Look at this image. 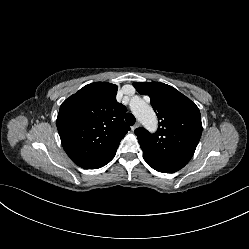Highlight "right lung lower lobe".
Segmentation results:
<instances>
[{
    "mask_svg": "<svg viewBox=\"0 0 249 249\" xmlns=\"http://www.w3.org/2000/svg\"><path fill=\"white\" fill-rule=\"evenodd\" d=\"M116 150H113L99 157L78 160L75 161V163L84 169H97L109 163L114 158Z\"/></svg>",
    "mask_w": 249,
    "mask_h": 249,
    "instance_id": "98d812e1",
    "label": "right lung lower lobe"
}]
</instances>
